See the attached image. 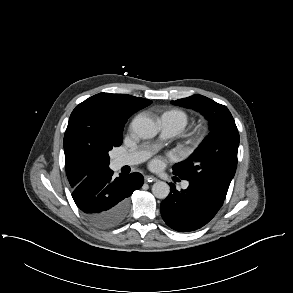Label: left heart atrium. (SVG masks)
<instances>
[{
	"mask_svg": "<svg viewBox=\"0 0 293 293\" xmlns=\"http://www.w3.org/2000/svg\"><path fill=\"white\" fill-rule=\"evenodd\" d=\"M165 166V162L161 159H155L151 162V168L155 171H161Z\"/></svg>",
	"mask_w": 293,
	"mask_h": 293,
	"instance_id": "obj_1",
	"label": "left heart atrium"
}]
</instances>
